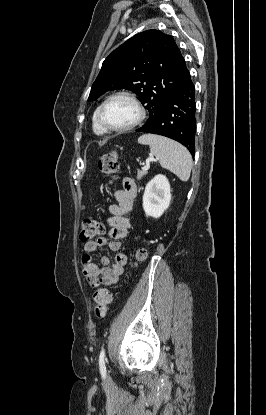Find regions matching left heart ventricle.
I'll use <instances>...</instances> for the list:
<instances>
[{"instance_id":"left-heart-ventricle-1","label":"left heart ventricle","mask_w":266,"mask_h":415,"mask_svg":"<svg viewBox=\"0 0 266 415\" xmlns=\"http://www.w3.org/2000/svg\"><path fill=\"white\" fill-rule=\"evenodd\" d=\"M137 114V109L132 102L126 98H116L107 104L104 119L112 127H123L131 124Z\"/></svg>"}]
</instances>
